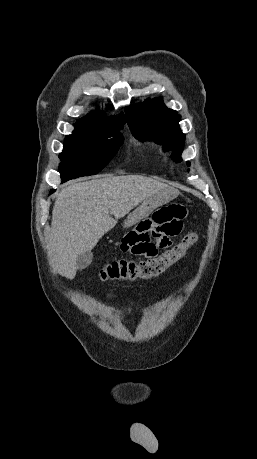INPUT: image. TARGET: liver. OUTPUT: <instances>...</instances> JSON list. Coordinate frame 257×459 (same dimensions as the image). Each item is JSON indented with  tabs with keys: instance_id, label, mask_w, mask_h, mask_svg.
<instances>
[{
	"instance_id": "liver-1",
	"label": "liver",
	"mask_w": 257,
	"mask_h": 459,
	"mask_svg": "<svg viewBox=\"0 0 257 459\" xmlns=\"http://www.w3.org/2000/svg\"><path fill=\"white\" fill-rule=\"evenodd\" d=\"M168 187L152 178L127 175L80 182L63 189L53 206L49 234L53 270L72 280L80 254L91 251L114 228L117 219Z\"/></svg>"
}]
</instances>
